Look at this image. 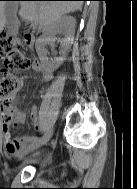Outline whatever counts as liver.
Masks as SVG:
<instances>
[{
  "mask_svg": "<svg viewBox=\"0 0 137 189\" xmlns=\"http://www.w3.org/2000/svg\"><path fill=\"white\" fill-rule=\"evenodd\" d=\"M9 3L0 1V32L6 25L5 8ZM19 15L39 31H46L62 15L81 9L82 1H21Z\"/></svg>",
  "mask_w": 137,
  "mask_h": 189,
  "instance_id": "liver-1",
  "label": "liver"
}]
</instances>
